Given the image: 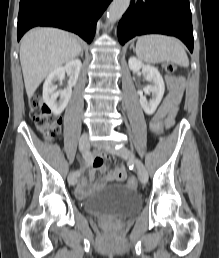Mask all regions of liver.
<instances>
[{"label": "liver", "instance_id": "obj_1", "mask_svg": "<svg viewBox=\"0 0 219 258\" xmlns=\"http://www.w3.org/2000/svg\"><path fill=\"white\" fill-rule=\"evenodd\" d=\"M81 45L71 34L54 28H34L21 40L20 62L28 98L56 68L77 57Z\"/></svg>", "mask_w": 219, "mask_h": 258}]
</instances>
